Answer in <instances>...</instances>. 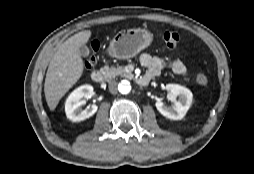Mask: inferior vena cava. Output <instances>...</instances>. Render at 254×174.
Returning <instances> with one entry per match:
<instances>
[{"label": "inferior vena cava", "instance_id": "602c4592", "mask_svg": "<svg viewBox=\"0 0 254 174\" xmlns=\"http://www.w3.org/2000/svg\"><path fill=\"white\" fill-rule=\"evenodd\" d=\"M117 82L112 80L109 82V91L112 93V94H116L117 93Z\"/></svg>", "mask_w": 254, "mask_h": 174}]
</instances>
